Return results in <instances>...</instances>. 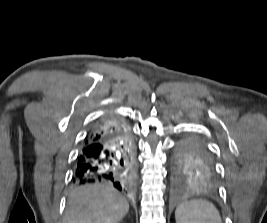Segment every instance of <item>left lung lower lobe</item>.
Here are the masks:
<instances>
[{
    "instance_id": "left-lung-lower-lobe-1",
    "label": "left lung lower lobe",
    "mask_w": 267,
    "mask_h": 223,
    "mask_svg": "<svg viewBox=\"0 0 267 223\" xmlns=\"http://www.w3.org/2000/svg\"><path fill=\"white\" fill-rule=\"evenodd\" d=\"M176 176L184 181L183 189H216V181L210 179L219 176V171H176Z\"/></svg>"
}]
</instances>
